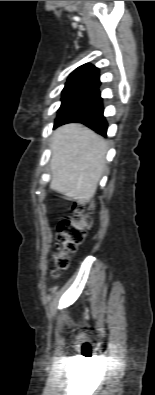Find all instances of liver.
Instances as JSON below:
<instances>
[{
	"label": "liver",
	"instance_id": "liver-1",
	"mask_svg": "<svg viewBox=\"0 0 155 395\" xmlns=\"http://www.w3.org/2000/svg\"><path fill=\"white\" fill-rule=\"evenodd\" d=\"M51 148L50 188L85 204L106 168L107 142L89 128L71 123L54 131Z\"/></svg>",
	"mask_w": 155,
	"mask_h": 395
}]
</instances>
